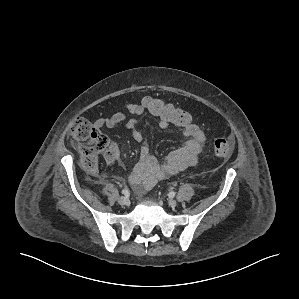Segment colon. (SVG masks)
<instances>
[{
	"instance_id": "obj_1",
	"label": "colon",
	"mask_w": 299,
	"mask_h": 299,
	"mask_svg": "<svg viewBox=\"0 0 299 299\" xmlns=\"http://www.w3.org/2000/svg\"><path fill=\"white\" fill-rule=\"evenodd\" d=\"M150 115L166 123L182 127L192 122L187 111L156 96H146L141 101ZM70 143L81 155L83 166L95 171L98 155L107 147L105 135L84 118H76L70 129ZM214 153L221 159H229L233 153V144L227 138H218L214 142Z\"/></svg>"
}]
</instances>
